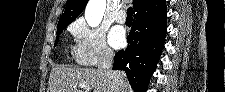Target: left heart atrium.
<instances>
[{
	"mask_svg": "<svg viewBox=\"0 0 225 92\" xmlns=\"http://www.w3.org/2000/svg\"><path fill=\"white\" fill-rule=\"evenodd\" d=\"M109 41L112 47L120 48L125 43V34L121 28H113L110 32Z\"/></svg>",
	"mask_w": 225,
	"mask_h": 92,
	"instance_id": "obj_1",
	"label": "left heart atrium"
}]
</instances>
